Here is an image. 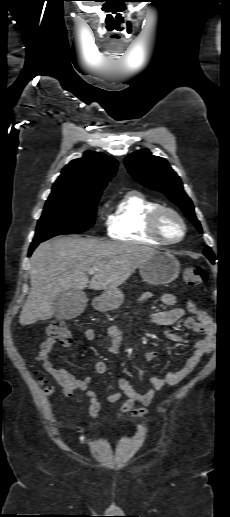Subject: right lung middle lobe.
Returning <instances> with one entry per match:
<instances>
[{
  "label": "right lung middle lobe",
  "instance_id": "obj_1",
  "mask_svg": "<svg viewBox=\"0 0 230 517\" xmlns=\"http://www.w3.org/2000/svg\"><path fill=\"white\" fill-rule=\"evenodd\" d=\"M101 194L54 197L46 201L32 243H41L62 234H79L93 226Z\"/></svg>",
  "mask_w": 230,
  "mask_h": 517
}]
</instances>
